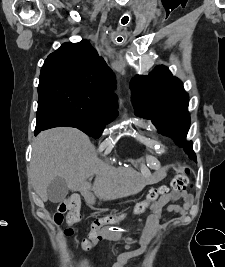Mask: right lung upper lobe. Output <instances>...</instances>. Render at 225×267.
<instances>
[{"instance_id":"right-lung-upper-lobe-1","label":"right lung upper lobe","mask_w":225,"mask_h":267,"mask_svg":"<svg viewBox=\"0 0 225 267\" xmlns=\"http://www.w3.org/2000/svg\"><path fill=\"white\" fill-rule=\"evenodd\" d=\"M63 79L90 88L117 109L115 75L87 40L64 43L45 60L40 81Z\"/></svg>"}]
</instances>
